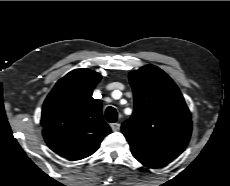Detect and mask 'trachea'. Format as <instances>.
Instances as JSON below:
<instances>
[{"label": "trachea", "mask_w": 230, "mask_h": 186, "mask_svg": "<svg viewBox=\"0 0 230 186\" xmlns=\"http://www.w3.org/2000/svg\"><path fill=\"white\" fill-rule=\"evenodd\" d=\"M105 118L108 122L114 123L117 120V111L115 108L109 106L105 112Z\"/></svg>", "instance_id": "trachea-1"}]
</instances>
